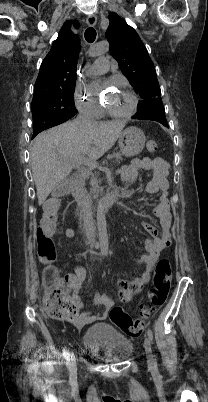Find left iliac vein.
<instances>
[{
  "label": "left iliac vein",
  "instance_id": "obj_1",
  "mask_svg": "<svg viewBox=\"0 0 208 402\" xmlns=\"http://www.w3.org/2000/svg\"><path fill=\"white\" fill-rule=\"evenodd\" d=\"M144 347H145V352H146V356H147V362L149 365L152 366L155 363V358H154V355L152 354L151 345H150V341L148 338H145Z\"/></svg>",
  "mask_w": 208,
  "mask_h": 402
}]
</instances>
